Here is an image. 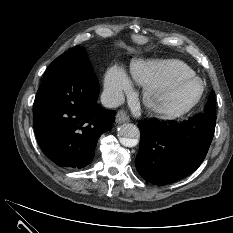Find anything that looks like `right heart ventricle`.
<instances>
[{"mask_svg": "<svg viewBox=\"0 0 233 233\" xmlns=\"http://www.w3.org/2000/svg\"><path fill=\"white\" fill-rule=\"evenodd\" d=\"M130 72L133 79L143 87L164 83L183 75H194L190 66L175 59L135 60Z\"/></svg>", "mask_w": 233, "mask_h": 233, "instance_id": "e07e8e85", "label": "right heart ventricle"}]
</instances>
